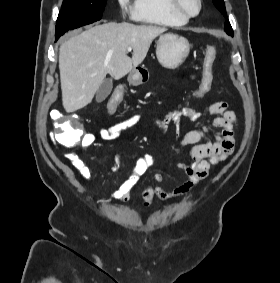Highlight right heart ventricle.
Returning <instances> with one entry per match:
<instances>
[{
	"label": "right heart ventricle",
	"instance_id": "e07e8e85",
	"mask_svg": "<svg viewBox=\"0 0 280 283\" xmlns=\"http://www.w3.org/2000/svg\"><path fill=\"white\" fill-rule=\"evenodd\" d=\"M132 18L135 21L166 27L183 26L188 18L175 11L170 0H134Z\"/></svg>",
	"mask_w": 280,
	"mask_h": 283
}]
</instances>
